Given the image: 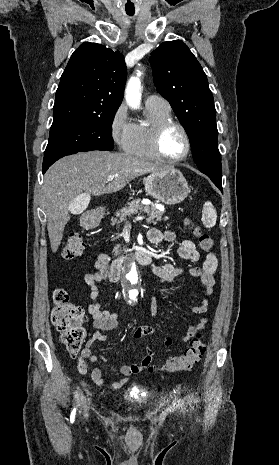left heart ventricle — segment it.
<instances>
[{
  "label": "left heart ventricle",
  "instance_id": "left-heart-ventricle-1",
  "mask_svg": "<svg viewBox=\"0 0 279 465\" xmlns=\"http://www.w3.org/2000/svg\"><path fill=\"white\" fill-rule=\"evenodd\" d=\"M161 148L167 157H178L185 150V141L181 131L176 127L168 128L162 136Z\"/></svg>",
  "mask_w": 279,
  "mask_h": 465
}]
</instances>
